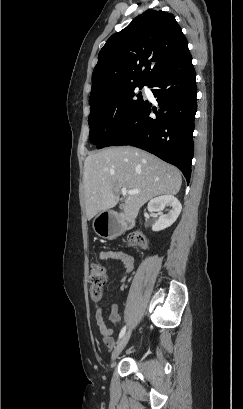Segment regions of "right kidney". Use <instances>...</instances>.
I'll use <instances>...</instances> for the list:
<instances>
[{
  "label": "right kidney",
  "mask_w": 243,
  "mask_h": 409,
  "mask_svg": "<svg viewBox=\"0 0 243 409\" xmlns=\"http://www.w3.org/2000/svg\"><path fill=\"white\" fill-rule=\"evenodd\" d=\"M166 206H170L172 209L168 214H161L156 223L152 226V230L157 232L170 227L180 215L182 206L179 200L172 195H163L156 197L148 203L149 212L163 211Z\"/></svg>",
  "instance_id": "1"
}]
</instances>
